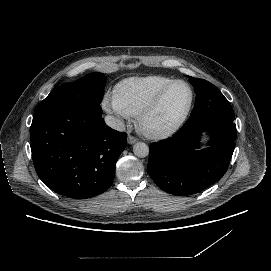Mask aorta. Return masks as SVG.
<instances>
[{
    "instance_id": "aorta-1",
    "label": "aorta",
    "mask_w": 271,
    "mask_h": 271,
    "mask_svg": "<svg viewBox=\"0 0 271 271\" xmlns=\"http://www.w3.org/2000/svg\"><path fill=\"white\" fill-rule=\"evenodd\" d=\"M149 151V147L143 142H138L133 147L134 154L139 158L147 157L149 155Z\"/></svg>"
}]
</instances>
